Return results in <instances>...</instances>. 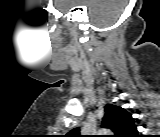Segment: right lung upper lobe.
Listing matches in <instances>:
<instances>
[{
    "label": "right lung upper lobe",
    "mask_w": 160,
    "mask_h": 137,
    "mask_svg": "<svg viewBox=\"0 0 160 137\" xmlns=\"http://www.w3.org/2000/svg\"><path fill=\"white\" fill-rule=\"evenodd\" d=\"M102 127L112 130L116 137H135L137 135V129L131 114L112 104L105 106Z\"/></svg>",
    "instance_id": "obj_1"
}]
</instances>
